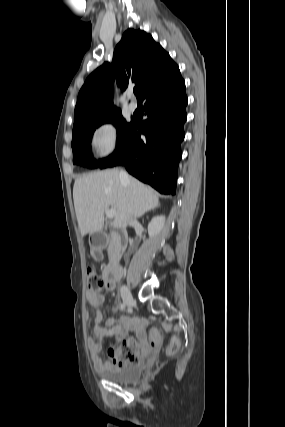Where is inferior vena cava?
<instances>
[{"mask_svg": "<svg viewBox=\"0 0 285 427\" xmlns=\"http://www.w3.org/2000/svg\"><path fill=\"white\" fill-rule=\"evenodd\" d=\"M119 176H120V179L122 180V181H126L127 179H128V174L124 171V170H121L120 172H119ZM136 222V220L135 219H133V218H131L130 219V221H129V224L130 225H132L133 223H135Z\"/></svg>", "mask_w": 285, "mask_h": 427, "instance_id": "obj_1", "label": "inferior vena cava"}]
</instances>
